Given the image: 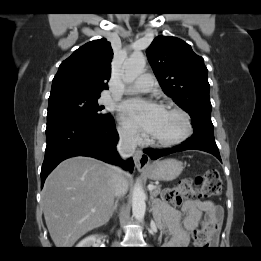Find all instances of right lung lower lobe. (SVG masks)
<instances>
[{"mask_svg": "<svg viewBox=\"0 0 261 261\" xmlns=\"http://www.w3.org/2000/svg\"><path fill=\"white\" fill-rule=\"evenodd\" d=\"M47 146L41 169V188L46 177L63 160L90 156L132 171L134 162L120 159L116 144L119 136L113 117L107 120L62 118L47 122Z\"/></svg>", "mask_w": 261, "mask_h": 261, "instance_id": "right-lung-lower-lobe-1", "label": "right lung lower lobe"}]
</instances>
